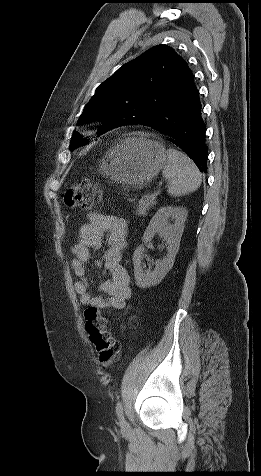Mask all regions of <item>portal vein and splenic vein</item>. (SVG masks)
Here are the masks:
<instances>
[{"instance_id": "obj_1", "label": "portal vein and splenic vein", "mask_w": 261, "mask_h": 476, "mask_svg": "<svg viewBox=\"0 0 261 476\" xmlns=\"http://www.w3.org/2000/svg\"><path fill=\"white\" fill-rule=\"evenodd\" d=\"M157 195H158L157 193H153V194H151V198L155 199Z\"/></svg>"}]
</instances>
